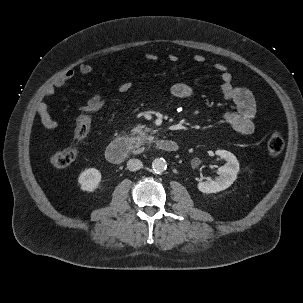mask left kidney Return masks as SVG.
Segmentation results:
<instances>
[{
  "mask_svg": "<svg viewBox=\"0 0 303 303\" xmlns=\"http://www.w3.org/2000/svg\"><path fill=\"white\" fill-rule=\"evenodd\" d=\"M215 154L226 161V164L218 169L219 177L215 180L208 178L205 182H199L197 187L202 193H217L227 189L233 184L239 172V162L236 156L226 150H217Z\"/></svg>",
  "mask_w": 303,
  "mask_h": 303,
  "instance_id": "5707ae66",
  "label": "left kidney"
}]
</instances>
